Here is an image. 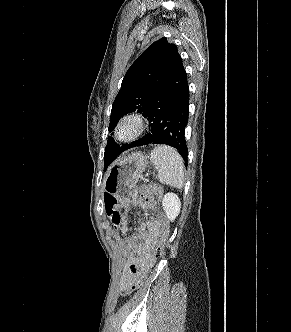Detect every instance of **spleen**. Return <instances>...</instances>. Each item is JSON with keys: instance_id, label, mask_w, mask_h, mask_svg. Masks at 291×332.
<instances>
[{"instance_id": "obj_1", "label": "spleen", "mask_w": 291, "mask_h": 332, "mask_svg": "<svg viewBox=\"0 0 291 332\" xmlns=\"http://www.w3.org/2000/svg\"><path fill=\"white\" fill-rule=\"evenodd\" d=\"M151 162L161 183L175 188L184 186V162L177 150L166 145L157 146L151 152Z\"/></svg>"}]
</instances>
